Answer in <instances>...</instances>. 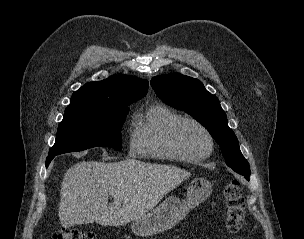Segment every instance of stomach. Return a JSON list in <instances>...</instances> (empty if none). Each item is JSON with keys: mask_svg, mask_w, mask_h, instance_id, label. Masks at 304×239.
Masks as SVG:
<instances>
[{"mask_svg": "<svg viewBox=\"0 0 304 239\" xmlns=\"http://www.w3.org/2000/svg\"><path fill=\"white\" fill-rule=\"evenodd\" d=\"M212 192V185L205 178L194 179L188 189L186 199L166 198L159 206L132 221V232L141 237L152 236L171 229L178 224L191 209L203 202Z\"/></svg>", "mask_w": 304, "mask_h": 239, "instance_id": "0dacf381", "label": "stomach"}]
</instances>
